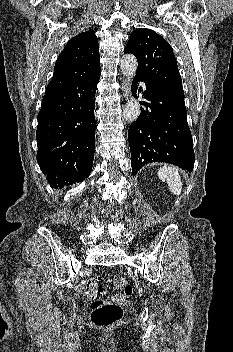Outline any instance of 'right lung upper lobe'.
Wrapping results in <instances>:
<instances>
[{
    "mask_svg": "<svg viewBox=\"0 0 233 352\" xmlns=\"http://www.w3.org/2000/svg\"><path fill=\"white\" fill-rule=\"evenodd\" d=\"M99 46L95 31L89 30L73 37L60 53L54 75L46 89H55L100 71Z\"/></svg>",
    "mask_w": 233,
    "mask_h": 352,
    "instance_id": "obj_1",
    "label": "right lung upper lobe"
}]
</instances>
